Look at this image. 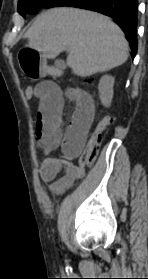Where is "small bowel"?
Wrapping results in <instances>:
<instances>
[{
	"label": "small bowel",
	"instance_id": "obj_1",
	"mask_svg": "<svg viewBox=\"0 0 148 279\" xmlns=\"http://www.w3.org/2000/svg\"><path fill=\"white\" fill-rule=\"evenodd\" d=\"M38 101L36 140L47 158L40 167L41 180L54 194H62L85 176V169L71 161L82 151L94 118V102L91 95L79 87L62 89L53 82H42L34 87ZM74 105L71 120L64 129L65 101ZM62 157H52L57 148Z\"/></svg>",
	"mask_w": 148,
	"mask_h": 279
}]
</instances>
